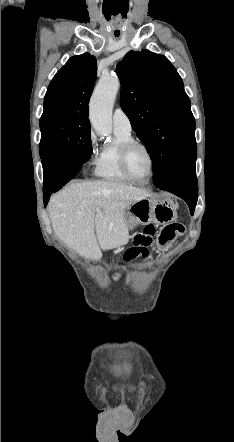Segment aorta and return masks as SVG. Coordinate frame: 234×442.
Listing matches in <instances>:
<instances>
[{
  "label": "aorta",
  "instance_id": "762f6f07",
  "mask_svg": "<svg viewBox=\"0 0 234 442\" xmlns=\"http://www.w3.org/2000/svg\"><path fill=\"white\" fill-rule=\"evenodd\" d=\"M120 81L115 75L103 76L90 100L89 119L95 132L101 136H110L112 132V109Z\"/></svg>",
  "mask_w": 234,
  "mask_h": 442
}]
</instances>
